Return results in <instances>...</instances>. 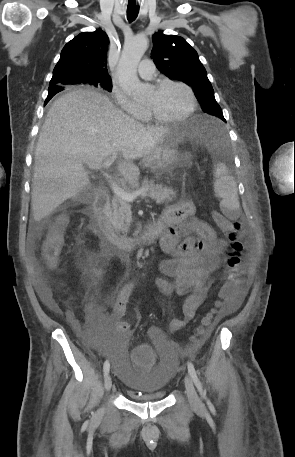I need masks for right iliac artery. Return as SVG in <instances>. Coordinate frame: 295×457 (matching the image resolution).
<instances>
[{"instance_id": "obj_1", "label": "right iliac artery", "mask_w": 295, "mask_h": 457, "mask_svg": "<svg viewBox=\"0 0 295 457\" xmlns=\"http://www.w3.org/2000/svg\"><path fill=\"white\" fill-rule=\"evenodd\" d=\"M109 370H110V364H109V362L106 360V361L104 362V366H103L104 376H106V375L109 373Z\"/></svg>"}]
</instances>
